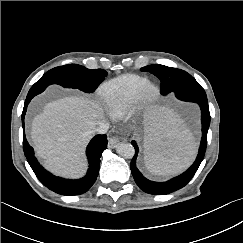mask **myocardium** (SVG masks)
I'll list each match as a JSON object with an SVG mask.
<instances>
[{"mask_svg":"<svg viewBox=\"0 0 243 243\" xmlns=\"http://www.w3.org/2000/svg\"><path fill=\"white\" fill-rule=\"evenodd\" d=\"M160 90L157 85L147 82L133 100V111L142 112L153 105L159 98Z\"/></svg>","mask_w":243,"mask_h":243,"instance_id":"myocardium-1","label":"myocardium"}]
</instances>
